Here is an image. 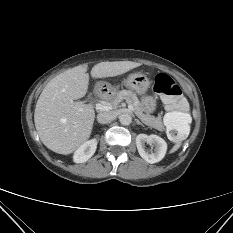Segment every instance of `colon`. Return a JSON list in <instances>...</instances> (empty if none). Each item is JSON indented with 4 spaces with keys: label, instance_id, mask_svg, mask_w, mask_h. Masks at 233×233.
<instances>
[{
    "label": "colon",
    "instance_id": "obj_1",
    "mask_svg": "<svg viewBox=\"0 0 233 233\" xmlns=\"http://www.w3.org/2000/svg\"><path fill=\"white\" fill-rule=\"evenodd\" d=\"M154 91L166 102L165 124L168 136L172 140L184 138L188 134L191 118L181 89L170 76L160 73L154 79Z\"/></svg>",
    "mask_w": 233,
    "mask_h": 233
}]
</instances>
